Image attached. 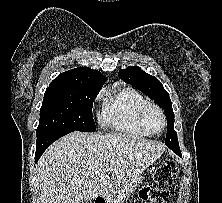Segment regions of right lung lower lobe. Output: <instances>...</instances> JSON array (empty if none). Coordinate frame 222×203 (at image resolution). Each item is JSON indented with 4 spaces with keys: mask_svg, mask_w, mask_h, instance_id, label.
I'll list each match as a JSON object with an SVG mask.
<instances>
[{
    "mask_svg": "<svg viewBox=\"0 0 222 203\" xmlns=\"http://www.w3.org/2000/svg\"><path fill=\"white\" fill-rule=\"evenodd\" d=\"M73 132L70 130H65V131H55V132H49L46 134H42L37 136V141H36V153H35V162L38 161V159L41 157L43 152L57 139L60 137Z\"/></svg>",
    "mask_w": 222,
    "mask_h": 203,
    "instance_id": "1",
    "label": "right lung lower lobe"
}]
</instances>
